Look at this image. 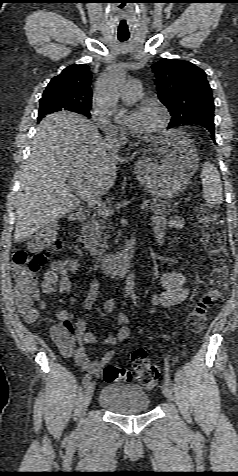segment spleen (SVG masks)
Returning a JSON list of instances; mask_svg holds the SVG:
<instances>
[{
	"mask_svg": "<svg viewBox=\"0 0 238 476\" xmlns=\"http://www.w3.org/2000/svg\"><path fill=\"white\" fill-rule=\"evenodd\" d=\"M203 198L209 206H219L223 201L222 183L214 164L206 162L201 172Z\"/></svg>",
	"mask_w": 238,
	"mask_h": 476,
	"instance_id": "1",
	"label": "spleen"
}]
</instances>
